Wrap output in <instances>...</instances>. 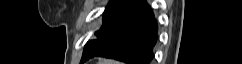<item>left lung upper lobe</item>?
Instances as JSON below:
<instances>
[{"mask_svg":"<svg viewBox=\"0 0 242 64\" xmlns=\"http://www.w3.org/2000/svg\"><path fill=\"white\" fill-rule=\"evenodd\" d=\"M119 0H111L110 3L107 5L105 12L106 13L115 3H117Z\"/></svg>","mask_w":242,"mask_h":64,"instance_id":"obj_1","label":"left lung upper lobe"}]
</instances>
